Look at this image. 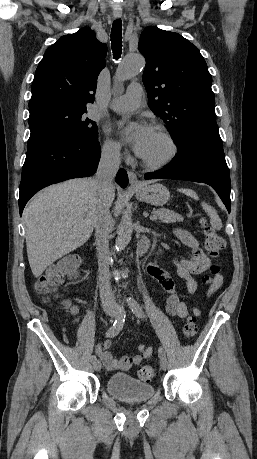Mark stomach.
<instances>
[{"label":"stomach","instance_id":"obj_1","mask_svg":"<svg viewBox=\"0 0 257 459\" xmlns=\"http://www.w3.org/2000/svg\"><path fill=\"white\" fill-rule=\"evenodd\" d=\"M136 197L139 201H144L152 205L162 206L170 198L169 190L162 184L153 183L135 189Z\"/></svg>","mask_w":257,"mask_h":459}]
</instances>
